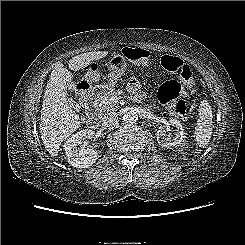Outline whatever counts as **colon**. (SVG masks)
Returning <instances> with one entry per match:
<instances>
[{
  "label": "colon",
  "mask_w": 245,
  "mask_h": 245,
  "mask_svg": "<svg viewBox=\"0 0 245 245\" xmlns=\"http://www.w3.org/2000/svg\"><path fill=\"white\" fill-rule=\"evenodd\" d=\"M123 53L133 61L144 64L150 61V53L143 49H125ZM160 64L168 72L177 74L179 80H170L163 83L158 91L159 99L164 104H168L177 116L186 118L187 104L181 96L194 86L192 69L180 58L171 55L162 56Z\"/></svg>",
  "instance_id": "colon-1"
}]
</instances>
